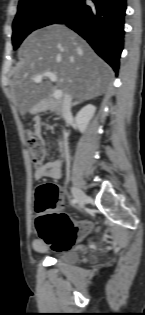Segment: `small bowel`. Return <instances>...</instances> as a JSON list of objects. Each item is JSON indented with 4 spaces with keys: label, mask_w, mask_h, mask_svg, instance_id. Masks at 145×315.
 <instances>
[{
    "label": "small bowel",
    "mask_w": 145,
    "mask_h": 315,
    "mask_svg": "<svg viewBox=\"0 0 145 315\" xmlns=\"http://www.w3.org/2000/svg\"><path fill=\"white\" fill-rule=\"evenodd\" d=\"M34 126H35L36 131L39 133L40 128H41V123L39 119L34 120ZM66 158H67V154L64 151L63 156L60 160L47 162L43 164L42 166L38 167L34 172L35 180L39 181L45 178L59 179L61 177L62 166ZM62 208H63V200H62V204L58 205V210H62ZM33 249L37 252H45L47 251V244H45L40 238H37L33 241Z\"/></svg>",
    "instance_id": "1"
}]
</instances>
